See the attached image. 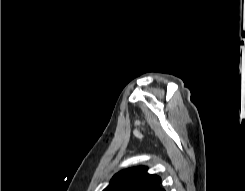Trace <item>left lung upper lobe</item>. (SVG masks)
<instances>
[{"mask_svg":"<svg viewBox=\"0 0 245 191\" xmlns=\"http://www.w3.org/2000/svg\"><path fill=\"white\" fill-rule=\"evenodd\" d=\"M147 170L142 165L121 170L103 191H162L161 178Z\"/></svg>","mask_w":245,"mask_h":191,"instance_id":"5c2ea615","label":"left lung upper lobe"}]
</instances>
